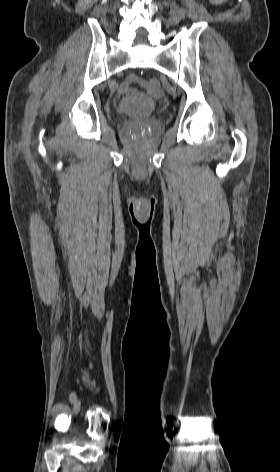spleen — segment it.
I'll return each instance as SVG.
<instances>
[{"label":"spleen","mask_w":280,"mask_h":472,"mask_svg":"<svg viewBox=\"0 0 280 472\" xmlns=\"http://www.w3.org/2000/svg\"><path fill=\"white\" fill-rule=\"evenodd\" d=\"M219 1H222V2H223V1H227V0H219Z\"/></svg>","instance_id":"spleen-1"}]
</instances>
